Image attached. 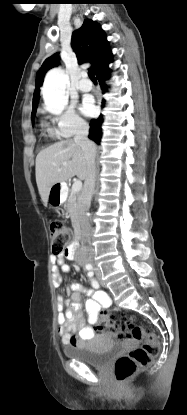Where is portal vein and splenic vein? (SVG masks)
Segmentation results:
<instances>
[{
	"label": "portal vein and splenic vein",
	"instance_id": "18ae733b",
	"mask_svg": "<svg viewBox=\"0 0 187 415\" xmlns=\"http://www.w3.org/2000/svg\"><path fill=\"white\" fill-rule=\"evenodd\" d=\"M63 164L66 165V163H63ZM81 188H82V182L80 180H76L72 185V192L77 193L81 190Z\"/></svg>",
	"mask_w": 187,
	"mask_h": 415
}]
</instances>
